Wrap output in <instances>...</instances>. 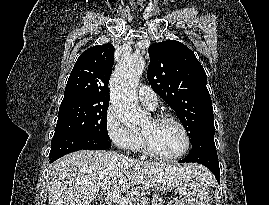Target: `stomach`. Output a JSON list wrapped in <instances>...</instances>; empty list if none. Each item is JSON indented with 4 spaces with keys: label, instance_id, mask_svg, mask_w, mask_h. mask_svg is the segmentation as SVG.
Instances as JSON below:
<instances>
[{
    "label": "stomach",
    "instance_id": "0dacf381",
    "mask_svg": "<svg viewBox=\"0 0 269 205\" xmlns=\"http://www.w3.org/2000/svg\"><path fill=\"white\" fill-rule=\"evenodd\" d=\"M175 189L179 196L175 205H210L211 196L207 186L194 178L183 180Z\"/></svg>",
    "mask_w": 269,
    "mask_h": 205
}]
</instances>
